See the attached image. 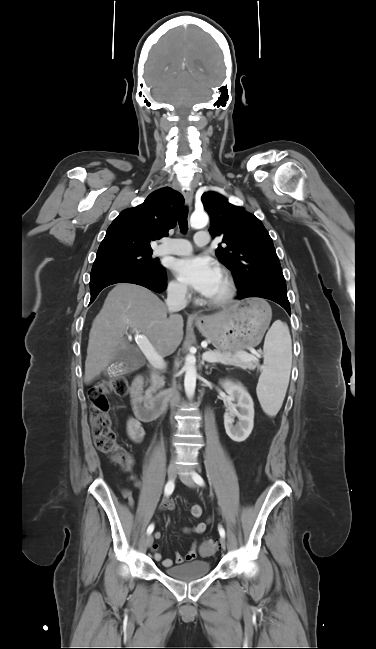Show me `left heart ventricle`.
Returning a JSON list of instances; mask_svg holds the SVG:
<instances>
[{
    "label": "left heart ventricle",
    "mask_w": 376,
    "mask_h": 649,
    "mask_svg": "<svg viewBox=\"0 0 376 649\" xmlns=\"http://www.w3.org/2000/svg\"><path fill=\"white\" fill-rule=\"evenodd\" d=\"M226 291V283L225 280L223 279L222 275L220 274L219 278L217 279L212 291L209 293L207 296L208 298L215 299L220 296H222Z\"/></svg>",
    "instance_id": "left-heart-ventricle-1"
}]
</instances>
